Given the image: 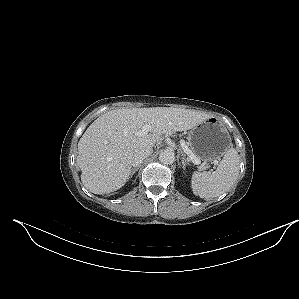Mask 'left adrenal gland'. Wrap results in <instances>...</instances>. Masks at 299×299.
Returning a JSON list of instances; mask_svg holds the SVG:
<instances>
[{
    "label": "left adrenal gland",
    "mask_w": 299,
    "mask_h": 299,
    "mask_svg": "<svg viewBox=\"0 0 299 299\" xmlns=\"http://www.w3.org/2000/svg\"><path fill=\"white\" fill-rule=\"evenodd\" d=\"M186 165H190L187 159L185 158V155L182 154V168L185 171L186 170Z\"/></svg>",
    "instance_id": "left-adrenal-gland-1"
}]
</instances>
